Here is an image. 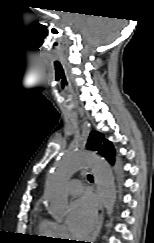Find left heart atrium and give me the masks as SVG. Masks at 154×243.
<instances>
[{
    "label": "left heart atrium",
    "instance_id": "left-heart-atrium-1",
    "mask_svg": "<svg viewBox=\"0 0 154 243\" xmlns=\"http://www.w3.org/2000/svg\"><path fill=\"white\" fill-rule=\"evenodd\" d=\"M95 218L96 204L89 194L82 196L72 203L69 226L76 235L84 236L88 234L93 229Z\"/></svg>",
    "mask_w": 154,
    "mask_h": 243
}]
</instances>
